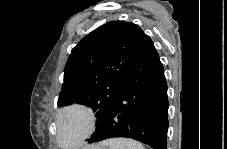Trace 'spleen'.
<instances>
[{"label": "spleen", "instance_id": "3e777b00", "mask_svg": "<svg viewBox=\"0 0 227 149\" xmlns=\"http://www.w3.org/2000/svg\"><path fill=\"white\" fill-rule=\"evenodd\" d=\"M109 149H144L143 145L137 141L127 138H114L103 142Z\"/></svg>", "mask_w": 227, "mask_h": 149}]
</instances>
